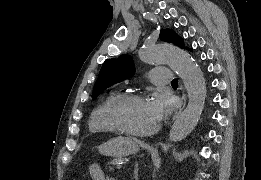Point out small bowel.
<instances>
[{
	"label": "small bowel",
	"instance_id": "1",
	"mask_svg": "<svg viewBox=\"0 0 261 180\" xmlns=\"http://www.w3.org/2000/svg\"><path fill=\"white\" fill-rule=\"evenodd\" d=\"M88 172L93 180H105L104 172L98 164H91L88 168Z\"/></svg>",
	"mask_w": 261,
	"mask_h": 180
}]
</instances>
